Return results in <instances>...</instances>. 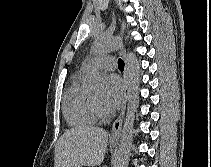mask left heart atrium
I'll list each match as a JSON object with an SVG mask.
<instances>
[{"label": "left heart atrium", "instance_id": "39dd6f15", "mask_svg": "<svg viewBox=\"0 0 211 167\" xmlns=\"http://www.w3.org/2000/svg\"><path fill=\"white\" fill-rule=\"evenodd\" d=\"M124 93L122 81L115 75L108 78L107 87L102 99L103 110L107 113L114 112L120 105Z\"/></svg>", "mask_w": 211, "mask_h": 167}]
</instances>
